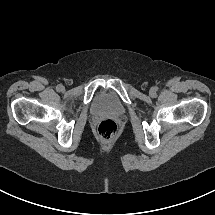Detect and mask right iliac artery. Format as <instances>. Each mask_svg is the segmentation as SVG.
Returning a JSON list of instances; mask_svg holds the SVG:
<instances>
[{
	"label": "right iliac artery",
	"mask_w": 215,
	"mask_h": 215,
	"mask_svg": "<svg viewBox=\"0 0 215 215\" xmlns=\"http://www.w3.org/2000/svg\"><path fill=\"white\" fill-rule=\"evenodd\" d=\"M61 84L56 87L57 91H61Z\"/></svg>",
	"instance_id": "1"
}]
</instances>
